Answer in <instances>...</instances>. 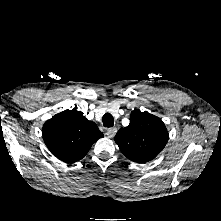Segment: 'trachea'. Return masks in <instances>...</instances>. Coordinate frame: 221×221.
Here are the masks:
<instances>
[{
	"instance_id": "obj_1",
	"label": "trachea",
	"mask_w": 221,
	"mask_h": 221,
	"mask_svg": "<svg viewBox=\"0 0 221 221\" xmlns=\"http://www.w3.org/2000/svg\"><path fill=\"white\" fill-rule=\"evenodd\" d=\"M102 121L104 127L110 128L114 125V118L110 113L104 114Z\"/></svg>"
}]
</instances>
